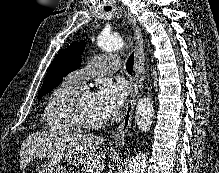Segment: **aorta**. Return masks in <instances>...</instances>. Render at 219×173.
<instances>
[{
	"label": "aorta",
	"instance_id": "1",
	"mask_svg": "<svg viewBox=\"0 0 219 173\" xmlns=\"http://www.w3.org/2000/svg\"><path fill=\"white\" fill-rule=\"evenodd\" d=\"M99 48L106 52H115L124 48L122 37L113 33L102 32L97 37ZM153 102L150 97H143L136 106L135 119L140 130L147 132L152 125ZM147 164V154L139 153L133 158L124 173H144Z\"/></svg>",
	"mask_w": 219,
	"mask_h": 173
}]
</instances>
